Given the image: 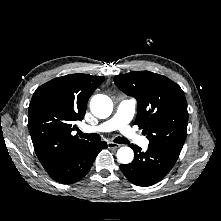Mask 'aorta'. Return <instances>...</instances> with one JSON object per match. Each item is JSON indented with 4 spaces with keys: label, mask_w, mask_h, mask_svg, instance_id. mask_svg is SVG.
Wrapping results in <instances>:
<instances>
[{
    "label": "aorta",
    "mask_w": 221,
    "mask_h": 221,
    "mask_svg": "<svg viewBox=\"0 0 221 221\" xmlns=\"http://www.w3.org/2000/svg\"><path fill=\"white\" fill-rule=\"evenodd\" d=\"M112 101L111 99L102 94H97L92 97L90 101V110L97 118H106L112 112ZM134 158V152L130 147L124 146L118 149L117 159L122 164H129Z\"/></svg>",
    "instance_id": "obj_1"
}]
</instances>
